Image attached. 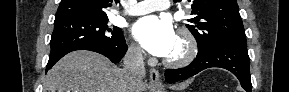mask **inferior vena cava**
<instances>
[{"mask_svg": "<svg viewBox=\"0 0 289 92\" xmlns=\"http://www.w3.org/2000/svg\"><path fill=\"white\" fill-rule=\"evenodd\" d=\"M124 69L132 80H142L145 77L143 50L137 46L129 47L124 60Z\"/></svg>", "mask_w": 289, "mask_h": 92, "instance_id": "602c4592", "label": "inferior vena cava"}]
</instances>
